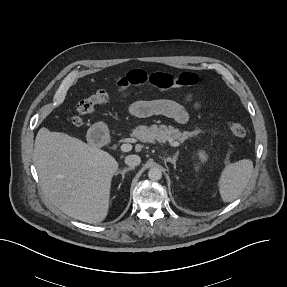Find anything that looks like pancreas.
Instances as JSON below:
<instances>
[{
	"mask_svg": "<svg viewBox=\"0 0 287 287\" xmlns=\"http://www.w3.org/2000/svg\"><path fill=\"white\" fill-rule=\"evenodd\" d=\"M200 133V130L181 132L178 128H174L171 125L153 124L150 127H137L133 130L132 136L144 143H154L155 141L165 142L170 140L182 143L187 139L197 137Z\"/></svg>",
	"mask_w": 287,
	"mask_h": 287,
	"instance_id": "pancreas-1",
	"label": "pancreas"
}]
</instances>
